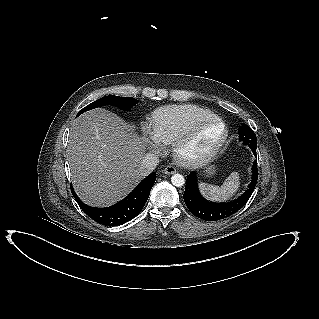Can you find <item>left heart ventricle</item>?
I'll return each instance as SVG.
<instances>
[{
    "mask_svg": "<svg viewBox=\"0 0 319 319\" xmlns=\"http://www.w3.org/2000/svg\"><path fill=\"white\" fill-rule=\"evenodd\" d=\"M221 133L222 128L220 125L211 124L207 126L190 145L188 152L191 154L203 152L220 137Z\"/></svg>",
    "mask_w": 319,
    "mask_h": 319,
    "instance_id": "left-heart-ventricle-1",
    "label": "left heart ventricle"
}]
</instances>
